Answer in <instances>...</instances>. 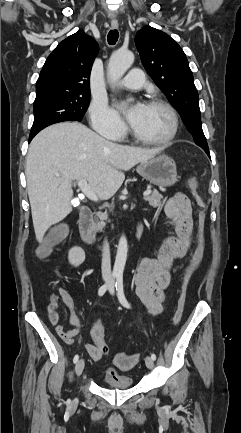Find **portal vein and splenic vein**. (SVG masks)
Returning a JSON list of instances; mask_svg holds the SVG:
<instances>
[{"label": "portal vein and splenic vein", "instance_id": "portal-vein-and-splenic-vein-1", "mask_svg": "<svg viewBox=\"0 0 241 433\" xmlns=\"http://www.w3.org/2000/svg\"><path fill=\"white\" fill-rule=\"evenodd\" d=\"M78 187L81 189V191L87 196L90 200L97 202L98 197L90 187V185L87 183L86 180H79L77 182ZM151 194V190H146L143 195L146 197Z\"/></svg>", "mask_w": 241, "mask_h": 433}]
</instances>
